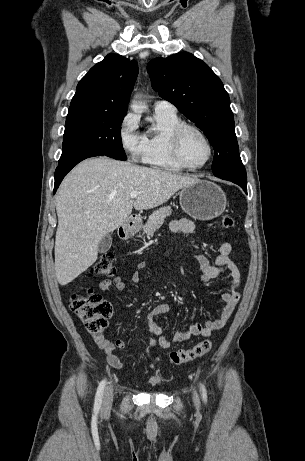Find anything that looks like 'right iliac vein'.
<instances>
[{"label":"right iliac vein","instance_id":"obj_1","mask_svg":"<svg viewBox=\"0 0 305 461\" xmlns=\"http://www.w3.org/2000/svg\"><path fill=\"white\" fill-rule=\"evenodd\" d=\"M113 400V388L111 386L107 387L104 398H103V409L107 410L110 408Z\"/></svg>","mask_w":305,"mask_h":461}]
</instances>
